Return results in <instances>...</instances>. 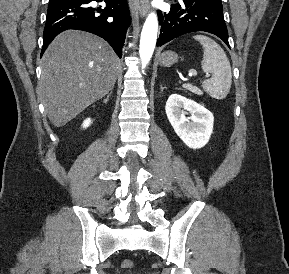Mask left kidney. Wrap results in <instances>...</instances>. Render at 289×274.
Wrapping results in <instances>:
<instances>
[{"label": "left kidney", "mask_w": 289, "mask_h": 274, "mask_svg": "<svg viewBox=\"0 0 289 274\" xmlns=\"http://www.w3.org/2000/svg\"><path fill=\"white\" fill-rule=\"evenodd\" d=\"M165 111L174 131L188 147L199 149L208 143L214 117L205 107L179 94H172ZM188 112L191 113L189 117Z\"/></svg>", "instance_id": "left-kidney-1"}]
</instances>
